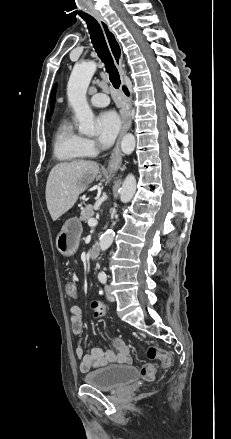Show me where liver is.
Returning a JSON list of instances; mask_svg holds the SVG:
<instances>
[{"label": "liver", "instance_id": "obj_1", "mask_svg": "<svg viewBox=\"0 0 231 439\" xmlns=\"http://www.w3.org/2000/svg\"><path fill=\"white\" fill-rule=\"evenodd\" d=\"M99 173L94 161H72L55 165L49 173L46 184V203L53 221L70 210L79 195Z\"/></svg>", "mask_w": 231, "mask_h": 439}]
</instances>
